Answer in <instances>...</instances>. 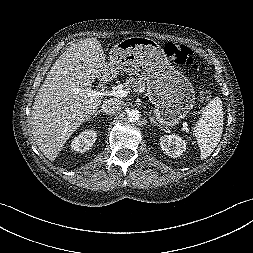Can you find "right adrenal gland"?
<instances>
[{
	"label": "right adrenal gland",
	"instance_id": "right-adrenal-gland-1",
	"mask_svg": "<svg viewBox=\"0 0 253 253\" xmlns=\"http://www.w3.org/2000/svg\"><path fill=\"white\" fill-rule=\"evenodd\" d=\"M103 111L102 110H98L97 112H95L94 116L93 117H96L98 114H102Z\"/></svg>",
	"mask_w": 253,
	"mask_h": 253
}]
</instances>
